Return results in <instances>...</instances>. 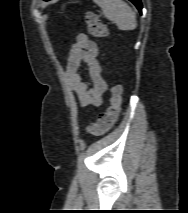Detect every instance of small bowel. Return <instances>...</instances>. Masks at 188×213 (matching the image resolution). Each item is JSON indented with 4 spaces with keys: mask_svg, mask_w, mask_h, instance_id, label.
<instances>
[{
    "mask_svg": "<svg viewBox=\"0 0 188 213\" xmlns=\"http://www.w3.org/2000/svg\"><path fill=\"white\" fill-rule=\"evenodd\" d=\"M98 54L99 49L94 41L84 33L77 35L68 56L66 74L69 86L82 107L100 106L107 90V83L97 60ZM83 65L87 67L88 81H84L80 74Z\"/></svg>",
    "mask_w": 188,
    "mask_h": 213,
    "instance_id": "obj_1",
    "label": "small bowel"
}]
</instances>
